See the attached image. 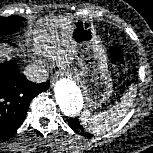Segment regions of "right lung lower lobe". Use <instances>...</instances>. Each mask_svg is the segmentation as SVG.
<instances>
[{"label": "right lung lower lobe", "instance_id": "98d812e1", "mask_svg": "<svg viewBox=\"0 0 153 153\" xmlns=\"http://www.w3.org/2000/svg\"><path fill=\"white\" fill-rule=\"evenodd\" d=\"M48 87V81L36 84L27 80L13 61L0 64V138L17 130L32 99Z\"/></svg>", "mask_w": 153, "mask_h": 153}]
</instances>
